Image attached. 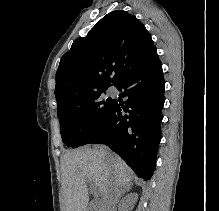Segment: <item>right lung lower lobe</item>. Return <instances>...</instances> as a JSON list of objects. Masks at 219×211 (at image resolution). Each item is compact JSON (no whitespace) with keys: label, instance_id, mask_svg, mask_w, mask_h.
I'll return each instance as SVG.
<instances>
[{"label":"right lung lower lobe","instance_id":"obj_1","mask_svg":"<svg viewBox=\"0 0 219 211\" xmlns=\"http://www.w3.org/2000/svg\"><path fill=\"white\" fill-rule=\"evenodd\" d=\"M162 64L158 58L132 70L115 85L125 89L123 102L115 103L104 121L95 126L85 144H105L138 175L149 180L161 139L160 124L164 98ZM124 113H128L125 114Z\"/></svg>","mask_w":219,"mask_h":211}]
</instances>
